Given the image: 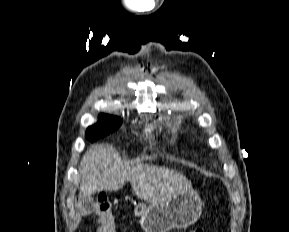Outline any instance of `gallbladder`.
<instances>
[{"label":"gallbladder","mask_w":289,"mask_h":232,"mask_svg":"<svg viewBox=\"0 0 289 232\" xmlns=\"http://www.w3.org/2000/svg\"><path fill=\"white\" fill-rule=\"evenodd\" d=\"M82 208L86 210L88 213H91L94 210L95 207V202L93 197H85V198H80Z\"/></svg>","instance_id":"obj_1"}]
</instances>
